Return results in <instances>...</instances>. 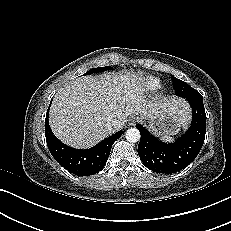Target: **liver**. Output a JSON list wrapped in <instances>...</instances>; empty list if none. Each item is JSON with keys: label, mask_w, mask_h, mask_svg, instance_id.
Wrapping results in <instances>:
<instances>
[{"label": "liver", "mask_w": 231, "mask_h": 231, "mask_svg": "<svg viewBox=\"0 0 231 231\" xmlns=\"http://www.w3.org/2000/svg\"><path fill=\"white\" fill-rule=\"evenodd\" d=\"M143 79L135 74L84 76L70 81L55 95L49 114L54 135L76 148H90L110 134L107 124L131 114L145 119L161 111L177 114L179 126L190 120L189 105L182 99L153 103L144 95Z\"/></svg>", "instance_id": "1"}]
</instances>
